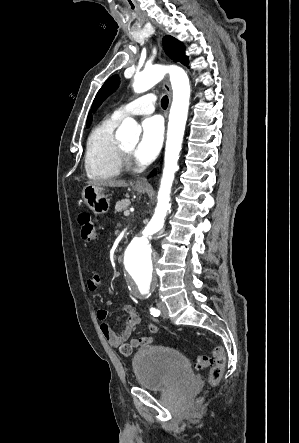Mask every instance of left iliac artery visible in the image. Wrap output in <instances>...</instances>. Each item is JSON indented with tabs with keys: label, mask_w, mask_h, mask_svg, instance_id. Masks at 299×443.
I'll use <instances>...</instances> for the list:
<instances>
[{
	"label": "left iliac artery",
	"mask_w": 299,
	"mask_h": 443,
	"mask_svg": "<svg viewBox=\"0 0 299 443\" xmlns=\"http://www.w3.org/2000/svg\"><path fill=\"white\" fill-rule=\"evenodd\" d=\"M150 313L151 315H153L154 317H158L160 315V310L156 309V308H150Z\"/></svg>",
	"instance_id": "left-iliac-artery-1"
}]
</instances>
